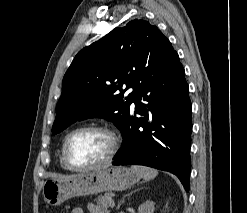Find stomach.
I'll return each mask as SVG.
<instances>
[{"label":"stomach","mask_w":247,"mask_h":213,"mask_svg":"<svg viewBox=\"0 0 247 213\" xmlns=\"http://www.w3.org/2000/svg\"><path fill=\"white\" fill-rule=\"evenodd\" d=\"M139 179V175L130 168L109 167L64 179H47L43 184L42 194L47 204L57 206L77 196L124 190Z\"/></svg>","instance_id":"obj_1"}]
</instances>
